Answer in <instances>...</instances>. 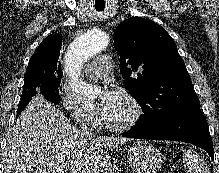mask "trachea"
Returning a JSON list of instances; mask_svg holds the SVG:
<instances>
[{
	"label": "trachea",
	"mask_w": 219,
	"mask_h": 173,
	"mask_svg": "<svg viewBox=\"0 0 219 173\" xmlns=\"http://www.w3.org/2000/svg\"><path fill=\"white\" fill-rule=\"evenodd\" d=\"M104 8L96 7V10L102 11Z\"/></svg>",
	"instance_id": "trachea-1"
}]
</instances>
